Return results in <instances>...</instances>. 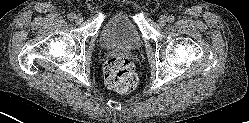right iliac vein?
<instances>
[{
    "label": "right iliac vein",
    "instance_id": "obj_1",
    "mask_svg": "<svg viewBox=\"0 0 249 123\" xmlns=\"http://www.w3.org/2000/svg\"><path fill=\"white\" fill-rule=\"evenodd\" d=\"M75 21H76V23H78V24L82 23V22H83V16H82V15H77V16L75 17Z\"/></svg>",
    "mask_w": 249,
    "mask_h": 123
}]
</instances>
